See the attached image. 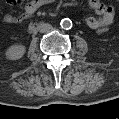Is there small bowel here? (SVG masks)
I'll return each instance as SVG.
<instances>
[{"label": "small bowel", "mask_w": 119, "mask_h": 119, "mask_svg": "<svg viewBox=\"0 0 119 119\" xmlns=\"http://www.w3.org/2000/svg\"><path fill=\"white\" fill-rule=\"evenodd\" d=\"M7 5L15 6L22 3L21 0H7ZM50 3L49 0H32L24 7V12L19 16L6 14L3 21L7 24H21L29 20L32 15L42 6ZM89 6L98 15L97 17H87L85 24L88 28L98 32H105L114 21V9L110 6H105L98 0L89 1ZM100 7V8H99Z\"/></svg>", "instance_id": "obj_1"}]
</instances>
